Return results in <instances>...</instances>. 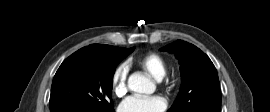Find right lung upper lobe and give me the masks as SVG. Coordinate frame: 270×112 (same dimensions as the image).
<instances>
[{
  "label": "right lung upper lobe",
  "instance_id": "cb5924a9",
  "mask_svg": "<svg viewBox=\"0 0 270 112\" xmlns=\"http://www.w3.org/2000/svg\"><path fill=\"white\" fill-rule=\"evenodd\" d=\"M108 45L103 44H91L87 47H83L80 50L76 51L75 53H99L105 48H107Z\"/></svg>",
  "mask_w": 270,
  "mask_h": 112
}]
</instances>
